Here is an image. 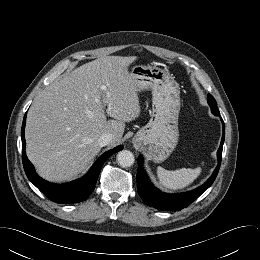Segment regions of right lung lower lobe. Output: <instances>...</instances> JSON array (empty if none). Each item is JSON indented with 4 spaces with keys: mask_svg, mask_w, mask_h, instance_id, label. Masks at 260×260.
I'll list each match as a JSON object with an SVG mask.
<instances>
[{
    "mask_svg": "<svg viewBox=\"0 0 260 260\" xmlns=\"http://www.w3.org/2000/svg\"><path fill=\"white\" fill-rule=\"evenodd\" d=\"M26 123V115L23 120L21 137H22V155L23 166L28 179L50 200L60 204L79 203L88 198L95 188L97 178L101 168L107 158L112 154L123 149L120 145L106 153H104L92 166L91 170L82 178L65 184H53L40 178L28 160L25 153V137L24 129Z\"/></svg>",
    "mask_w": 260,
    "mask_h": 260,
    "instance_id": "1",
    "label": "right lung lower lobe"
}]
</instances>
